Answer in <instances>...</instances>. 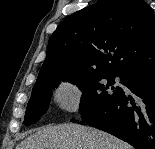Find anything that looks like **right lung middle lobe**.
<instances>
[{
  "mask_svg": "<svg viewBox=\"0 0 155 149\" xmlns=\"http://www.w3.org/2000/svg\"><path fill=\"white\" fill-rule=\"evenodd\" d=\"M115 77H120L123 83V75L97 71L63 72L36 82L27 105L24 124L36 123L47 111L52 90L59 85L60 80L71 82L83 91L79 109L82 121L97 116L122 92L121 88L113 86Z\"/></svg>",
  "mask_w": 155,
  "mask_h": 149,
  "instance_id": "dd1d6c3e",
  "label": "right lung middle lobe"
}]
</instances>
